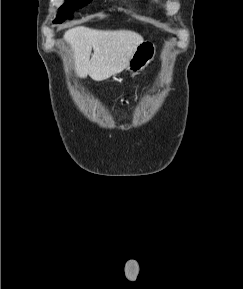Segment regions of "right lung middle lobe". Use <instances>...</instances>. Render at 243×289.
<instances>
[{
  "label": "right lung middle lobe",
  "instance_id": "right-lung-middle-lobe-1",
  "mask_svg": "<svg viewBox=\"0 0 243 289\" xmlns=\"http://www.w3.org/2000/svg\"><path fill=\"white\" fill-rule=\"evenodd\" d=\"M91 0H66V3L59 8L60 14L53 23H62L65 19L71 18L75 9L82 8Z\"/></svg>",
  "mask_w": 243,
  "mask_h": 289
}]
</instances>
